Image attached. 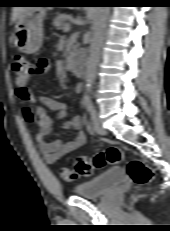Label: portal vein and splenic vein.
I'll list each match as a JSON object with an SVG mask.
<instances>
[{
    "label": "portal vein and splenic vein",
    "instance_id": "1",
    "mask_svg": "<svg viewBox=\"0 0 170 231\" xmlns=\"http://www.w3.org/2000/svg\"><path fill=\"white\" fill-rule=\"evenodd\" d=\"M64 32H68L70 30V25L66 24L65 27L63 28Z\"/></svg>",
    "mask_w": 170,
    "mask_h": 231
}]
</instances>
